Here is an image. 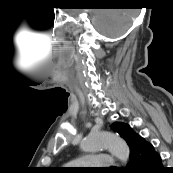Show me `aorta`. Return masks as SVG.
Returning <instances> with one entry per match:
<instances>
[{
  "label": "aorta",
  "mask_w": 173,
  "mask_h": 173,
  "mask_svg": "<svg viewBox=\"0 0 173 173\" xmlns=\"http://www.w3.org/2000/svg\"><path fill=\"white\" fill-rule=\"evenodd\" d=\"M81 148L85 152H97L108 149L122 163H127L130 156V149L127 143L121 137L111 132L90 134L83 140Z\"/></svg>",
  "instance_id": "762f6f07"
}]
</instances>
